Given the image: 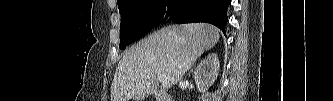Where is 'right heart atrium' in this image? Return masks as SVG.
<instances>
[{
	"instance_id": "right-heart-atrium-1",
	"label": "right heart atrium",
	"mask_w": 333,
	"mask_h": 101,
	"mask_svg": "<svg viewBox=\"0 0 333 101\" xmlns=\"http://www.w3.org/2000/svg\"><path fill=\"white\" fill-rule=\"evenodd\" d=\"M155 12L156 13H160V14H162V15H165L166 14V11L165 10H159V9H155Z\"/></svg>"
}]
</instances>
